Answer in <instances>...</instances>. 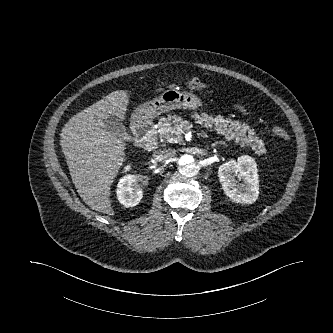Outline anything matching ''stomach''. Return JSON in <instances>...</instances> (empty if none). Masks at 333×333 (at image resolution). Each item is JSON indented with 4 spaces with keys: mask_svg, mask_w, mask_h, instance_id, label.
<instances>
[{
    "mask_svg": "<svg viewBox=\"0 0 333 333\" xmlns=\"http://www.w3.org/2000/svg\"><path fill=\"white\" fill-rule=\"evenodd\" d=\"M200 105L201 100L194 94L166 90L159 97L137 107L132 114V119L135 122L144 123L172 109H196Z\"/></svg>",
    "mask_w": 333,
    "mask_h": 333,
    "instance_id": "stomach-1",
    "label": "stomach"
}]
</instances>
